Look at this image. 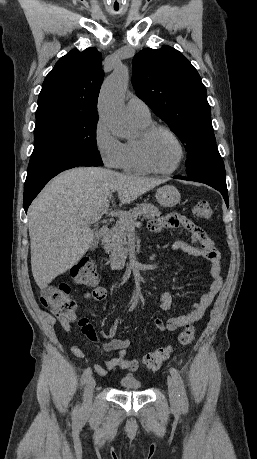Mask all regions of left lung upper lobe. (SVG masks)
<instances>
[{
    "label": "left lung upper lobe",
    "instance_id": "obj_1",
    "mask_svg": "<svg viewBox=\"0 0 257 459\" xmlns=\"http://www.w3.org/2000/svg\"><path fill=\"white\" fill-rule=\"evenodd\" d=\"M132 83L137 96L185 145L187 175L202 177L215 173L225 177L206 88L183 54L169 46L141 50L133 58Z\"/></svg>",
    "mask_w": 257,
    "mask_h": 459
}]
</instances>
